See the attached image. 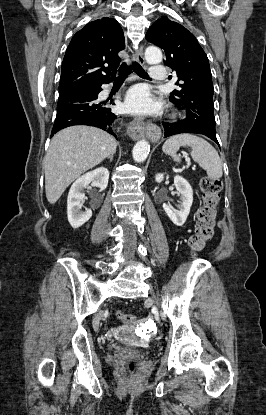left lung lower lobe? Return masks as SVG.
Returning a JSON list of instances; mask_svg holds the SVG:
<instances>
[{"instance_id": "obj_1", "label": "left lung lower lobe", "mask_w": 266, "mask_h": 415, "mask_svg": "<svg viewBox=\"0 0 266 415\" xmlns=\"http://www.w3.org/2000/svg\"><path fill=\"white\" fill-rule=\"evenodd\" d=\"M163 127L165 131V137H169V136L180 134V133H197V134L206 135L207 137H209L210 139H212L214 142H216L219 145L217 138H216V133L203 130L202 128L189 124L185 122L184 120L178 121L175 123L163 122Z\"/></svg>"}]
</instances>
